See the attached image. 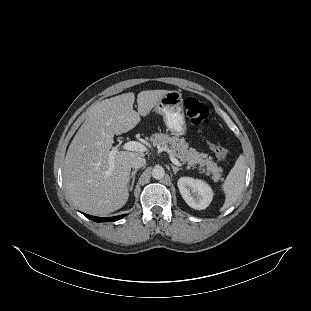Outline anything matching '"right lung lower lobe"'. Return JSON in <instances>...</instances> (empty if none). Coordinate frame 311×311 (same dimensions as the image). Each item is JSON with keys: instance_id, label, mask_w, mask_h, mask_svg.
Returning a JSON list of instances; mask_svg holds the SVG:
<instances>
[{"instance_id": "1", "label": "right lung lower lobe", "mask_w": 311, "mask_h": 311, "mask_svg": "<svg viewBox=\"0 0 311 311\" xmlns=\"http://www.w3.org/2000/svg\"><path fill=\"white\" fill-rule=\"evenodd\" d=\"M87 218L91 219L92 221L95 222H112V221H116L122 217H124L125 215H120V216H116V217H106V218H102V217H95V216H91V215H87L84 214Z\"/></svg>"}]
</instances>
